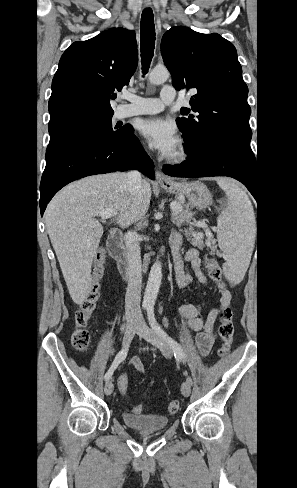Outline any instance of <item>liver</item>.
Here are the masks:
<instances>
[{"label":"liver","instance_id":"liver-1","mask_svg":"<svg viewBox=\"0 0 297 488\" xmlns=\"http://www.w3.org/2000/svg\"><path fill=\"white\" fill-rule=\"evenodd\" d=\"M124 172L95 175L69 184L45 211V224L74 303L82 304L92 287L93 257L103 234L96 213L114 210L113 221L127 226L141 220L151 200L147 181L131 191Z\"/></svg>","mask_w":297,"mask_h":488}]
</instances>
